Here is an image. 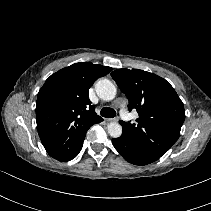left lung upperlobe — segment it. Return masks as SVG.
I'll use <instances>...</instances> for the list:
<instances>
[{
  "mask_svg": "<svg viewBox=\"0 0 211 211\" xmlns=\"http://www.w3.org/2000/svg\"><path fill=\"white\" fill-rule=\"evenodd\" d=\"M111 76L127 96L129 111L139 113L136 124L119 121L123 130L159 159L179 138L185 120L182 101L169 82L153 73L118 69Z\"/></svg>",
  "mask_w": 211,
  "mask_h": 211,
  "instance_id": "1",
  "label": "left lung upper lobe"
}]
</instances>
